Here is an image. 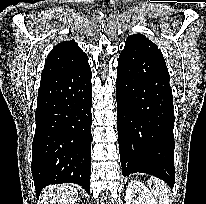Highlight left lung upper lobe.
<instances>
[{
    "label": "left lung upper lobe",
    "instance_id": "1",
    "mask_svg": "<svg viewBox=\"0 0 206 204\" xmlns=\"http://www.w3.org/2000/svg\"><path fill=\"white\" fill-rule=\"evenodd\" d=\"M120 56L124 57L132 69H139L145 60L165 63L158 46L141 34L131 35L127 38Z\"/></svg>",
    "mask_w": 206,
    "mask_h": 204
}]
</instances>
